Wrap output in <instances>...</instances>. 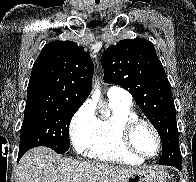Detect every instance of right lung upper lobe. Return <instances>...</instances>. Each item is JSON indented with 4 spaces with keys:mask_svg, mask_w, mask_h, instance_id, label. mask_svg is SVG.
Listing matches in <instances>:
<instances>
[{
    "mask_svg": "<svg viewBox=\"0 0 196 182\" xmlns=\"http://www.w3.org/2000/svg\"><path fill=\"white\" fill-rule=\"evenodd\" d=\"M93 62L83 47L72 41L46 44L35 61L25 108L80 107L92 87Z\"/></svg>",
    "mask_w": 196,
    "mask_h": 182,
    "instance_id": "obj_1",
    "label": "right lung upper lobe"
}]
</instances>
